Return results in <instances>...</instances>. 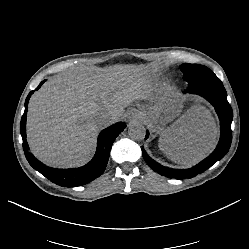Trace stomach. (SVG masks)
I'll use <instances>...</instances> for the list:
<instances>
[{
    "label": "stomach",
    "instance_id": "stomach-1",
    "mask_svg": "<svg viewBox=\"0 0 249 249\" xmlns=\"http://www.w3.org/2000/svg\"><path fill=\"white\" fill-rule=\"evenodd\" d=\"M185 97L177 94L169 85L158 87L153 97L146 105V116L150 123L157 128H164L172 123Z\"/></svg>",
    "mask_w": 249,
    "mask_h": 249
}]
</instances>
